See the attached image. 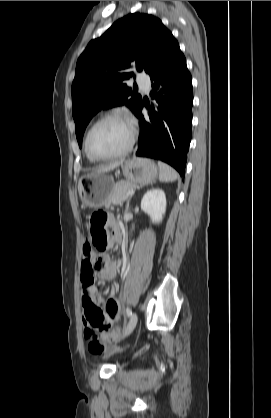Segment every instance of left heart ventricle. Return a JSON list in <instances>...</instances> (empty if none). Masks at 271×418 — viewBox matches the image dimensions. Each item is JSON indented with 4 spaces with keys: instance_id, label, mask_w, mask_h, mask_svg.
Masks as SVG:
<instances>
[{
    "instance_id": "obj_1",
    "label": "left heart ventricle",
    "mask_w": 271,
    "mask_h": 418,
    "mask_svg": "<svg viewBox=\"0 0 271 418\" xmlns=\"http://www.w3.org/2000/svg\"><path fill=\"white\" fill-rule=\"evenodd\" d=\"M130 136L131 126L127 121L110 119L93 130L89 145L97 155H110L125 148Z\"/></svg>"
}]
</instances>
